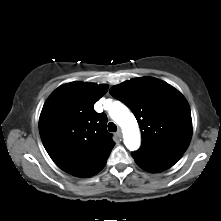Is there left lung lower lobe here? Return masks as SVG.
<instances>
[{"instance_id": "0a47b994", "label": "left lung lower lobe", "mask_w": 221, "mask_h": 221, "mask_svg": "<svg viewBox=\"0 0 221 221\" xmlns=\"http://www.w3.org/2000/svg\"><path fill=\"white\" fill-rule=\"evenodd\" d=\"M132 157L140 168L152 173L170 168L181 158V156L148 157L136 152L132 153Z\"/></svg>"}]
</instances>
